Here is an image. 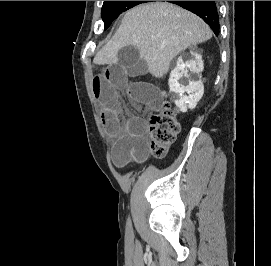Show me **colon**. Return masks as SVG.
Listing matches in <instances>:
<instances>
[{"label":"colon","mask_w":271,"mask_h":266,"mask_svg":"<svg viewBox=\"0 0 271 266\" xmlns=\"http://www.w3.org/2000/svg\"><path fill=\"white\" fill-rule=\"evenodd\" d=\"M179 132V123L170 104L165 101L150 119V150L156 157H164Z\"/></svg>","instance_id":"1"}]
</instances>
